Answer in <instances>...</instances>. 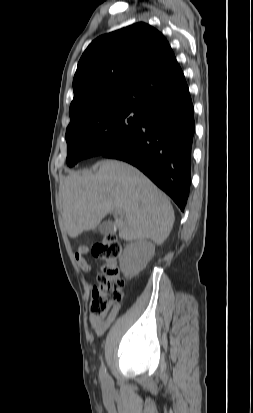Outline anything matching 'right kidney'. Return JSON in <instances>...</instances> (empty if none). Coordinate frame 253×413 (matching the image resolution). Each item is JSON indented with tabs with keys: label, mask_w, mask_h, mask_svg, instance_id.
<instances>
[{
	"label": "right kidney",
	"mask_w": 253,
	"mask_h": 413,
	"mask_svg": "<svg viewBox=\"0 0 253 413\" xmlns=\"http://www.w3.org/2000/svg\"><path fill=\"white\" fill-rule=\"evenodd\" d=\"M154 253V245L146 239L128 244L119 256L121 271L127 278H133L146 267Z\"/></svg>",
	"instance_id": "1"
}]
</instances>
